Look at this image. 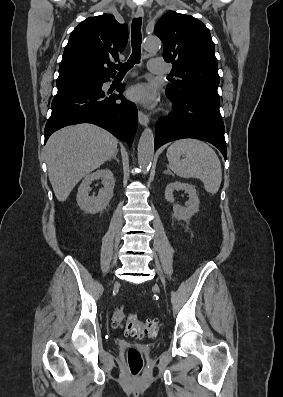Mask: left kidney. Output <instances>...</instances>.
I'll list each match as a JSON object with an SVG mask.
<instances>
[{
    "mask_svg": "<svg viewBox=\"0 0 283 397\" xmlns=\"http://www.w3.org/2000/svg\"><path fill=\"white\" fill-rule=\"evenodd\" d=\"M184 190L189 195V201L185 206L174 203V191ZM165 199L173 204V216L178 220L188 221L199 210V198L196 189L192 184L182 182H172L166 186Z\"/></svg>",
    "mask_w": 283,
    "mask_h": 397,
    "instance_id": "left-kidney-1",
    "label": "left kidney"
}]
</instances>
